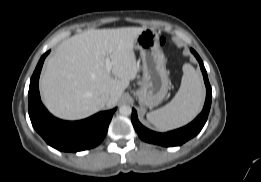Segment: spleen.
Segmentation results:
<instances>
[{
	"mask_svg": "<svg viewBox=\"0 0 261 182\" xmlns=\"http://www.w3.org/2000/svg\"><path fill=\"white\" fill-rule=\"evenodd\" d=\"M204 88L200 74L190 64H184L181 85L174 98L164 107L147 113V120L161 131L179 128L200 112Z\"/></svg>",
	"mask_w": 261,
	"mask_h": 182,
	"instance_id": "spleen-1",
	"label": "spleen"
}]
</instances>
